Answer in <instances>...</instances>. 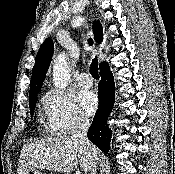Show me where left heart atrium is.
Masks as SVG:
<instances>
[{
    "label": "left heart atrium",
    "mask_w": 175,
    "mask_h": 174,
    "mask_svg": "<svg viewBox=\"0 0 175 174\" xmlns=\"http://www.w3.org/2000/svg\"><path fill=\"white\" fill-rule=\"evenodd\" d=\"M78 99L83 111L86 114H92L98 106V99L91 91H82L79 94Z\"/></svg>",
    "instance_id": "39dd6f15"
}]
</instances>
